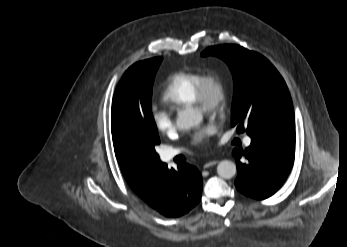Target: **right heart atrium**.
<instances>
[{
    "label": "right heart atrium",
    "mask_w": 347,
    "mask_h": 247,
    "mask_svg": "<svg viewBox=\"0 0 347 247\" xmlns=\"http://www.w3.org/2000/svg\"><path fill=\"white\" fill-rule=\"evenodd\" d=\"M151 119L155 128L162 134H170L175 129V124L172 117L165 110H153L151 113Z\"/></svg>",
    "instance_id": "1"
}]
</instances>
